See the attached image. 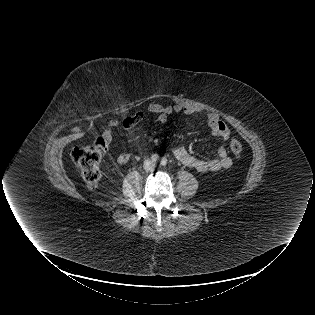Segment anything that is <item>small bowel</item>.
Wrapping results in <instances>:
<instances>
[{
    "label": "small bowel",
    "mask_w": 315,
    "mask_h": 315,
    "mask_svg": "<svg viewBox=\"0 0 315 315\" xmlns=\"http://www.w3.org/2000/svg\"><path fill=\"white\" fill-rule=\"evenodd\" d=\"M146 113L155 115L157 121L163 124L172 114L183 113L189 115L193 113V110L180 104L162 105L158 103H152L148 105L146 111L140 110L134 115L126 117L122 121L112 119L108 122L106 129L102 133V137L106 142L107 148L112 142L114 131H117L120 128H123L125 130L132 129L145 118ZM200 120H205L213 136L221 138L224 141H227L229 139L230 131L225 123L220 120L217 114L211 113L207 115L206 118H200ZM173 155L184 166L195 169L198 172H215L221 169L230 168L233 164L232 159L228 155V151L225 145L220 146L217 151V157L211 159L198 158L191 154L183 146L175 147L173 149ZM129 161L130 155L127 153H123L117 158V163L119 165L127 164Z\"/></svg>",
    "instance_id": "1"
}]
</instances>
